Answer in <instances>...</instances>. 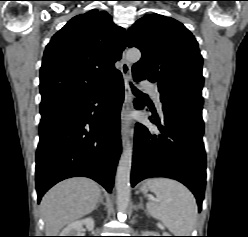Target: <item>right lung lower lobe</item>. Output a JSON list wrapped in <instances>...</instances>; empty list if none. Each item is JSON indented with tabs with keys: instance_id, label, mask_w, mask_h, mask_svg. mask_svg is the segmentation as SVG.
I'll return each mask as SVG.
<instances>
[{
	"instance_id": "98d812e1",
	"label": "right lung lower lobe",
	"mask_w": 248,
	"mask_h": 237,
	"mask_svg": "<svg viewBox=\"0 0 248 237\" xmlns=\"http://www.w3.org/2000/svg\"><path fill=\"white\" fill-rule=\"evenodd\" d=\"M123 99L120 74L84 95L40 104V141L36 152L38 203L53 185L76 176L89 177L111 192L121 153Z\"/></svg>"
}]
</instances>
